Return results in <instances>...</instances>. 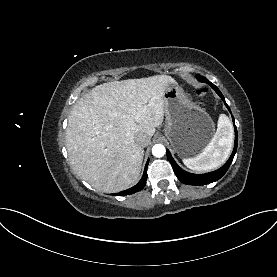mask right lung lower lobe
<instances>
[{"label":"right lung lower lobe","mask_w":277,"mask_h":277,"mask_svg":"<svg viewBox=\"0 0 277 277\" xmlns=\"http://www.w3.org/2000/svg\"><path fill=\"white\" fill-rule=\"evenodd\" d=\"M148 163H149V160L146 163L144 173H143V176H142L141 180L135 186H133L132 188H129L127 190L119 192V193H117V195H119V196L130 195V194H133L135 192L141 191L144 188V186L146 185V180H147V166H148ZM113 195H115V194H113Z\"/></svg>","instance_id":"98d812e1"}]
</instances>
